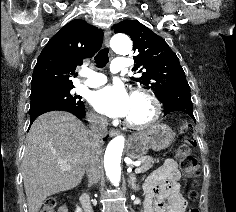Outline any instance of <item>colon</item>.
Wrapping results in <instances>:
<instances>
[{"label": "colon", "instance_id": "obj_1", "mask_svg": "<svg viewBox=\"0 0 236 212\" xmlns=\"http://www.w3.org/2000/svg\"><path fill=\"white\" fill-rule=\"evenodd\" d=\"M179 139L181 140V145L179 146L176 158L180 164V168L183 174L192 179L198 175V159L192 153V149L196 145L193 127L192 125L185 121L181 125L179 131ZM184 193L190 198L195 199L197 196L196 191L189 185L185 184ZM57 202L53 198H48L44 201L43 207L40 212H55ZM188 212H198L196 207H190Z\"/></svg>", "mask_w": 236, "mask_h": 212}]
</instances>
